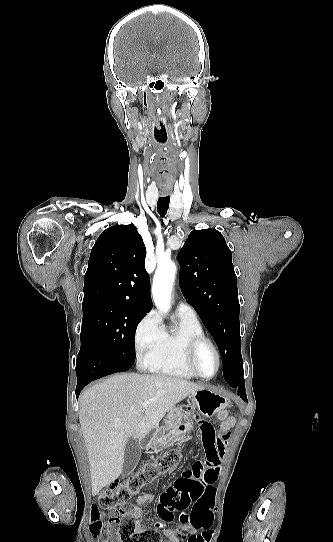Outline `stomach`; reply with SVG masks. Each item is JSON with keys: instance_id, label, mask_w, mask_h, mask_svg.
<instances>
[{"instance_id": "1", "label": "stomach", "mask_w": 333, "mask_h": 542, "mask_svg": "<svg viewBox=\"0 0 333 542\" xmlns=\"http://www.w3.org/2000/svg\"><path fill=\"white\" fill-rule=\"evenodd\" d=\"M191 400L195 410H197L200 416L203 418H212L215 416L219 410L226 408L228 402L227 398L223 394H218V392H212V390H197L194 394L188 396ZM192 420H185V424L177 423L175 424H166L162 428H155L153 432H150L144 440H142V448H164V446H169L170 442L173 440H191L193 438V433L189 430L193 428Z\"/></svg>"}]
</instances>
